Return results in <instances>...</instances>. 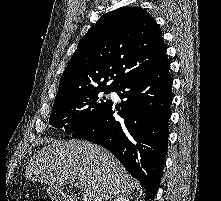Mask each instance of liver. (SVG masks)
<instances>
[{
  "label": "liver",
  "instance_id": "6515ba94",
  "mask_svg": "<svg viewBox=\"0 0 221 201\" xmlns=\"http://www.w3.org/2000/svg\"><path fill=\"white\" fill-rule=\"evenodd\" d=\"M28 162L26 179L61 187L78 180L83 201H106L130 195L137 181L106 149L83 140H46Z\"/></svg>",
  "mask_w": 221,
  "mask_h": 201
}]
</instances>
